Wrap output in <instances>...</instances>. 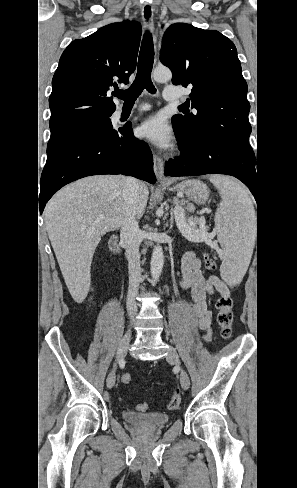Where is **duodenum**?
Returning <instances> with one entry per match:
<instances>
[{
    "mask_svg": "<svg viewBox=\"0 0 297 488\" xmlns=\"http://www.w3.org/2000/svg\"><path fill=\"white\" fill-rule=\"evenodd\" d=\"M110 248L111 250L117 254V255H120V248H119V245H118V238L116 236H113L110 240Z\"/></svg>",
    "mask_w": 297,
    "mask_h": 488,
    "instance_id": "duodenum-1",
    "label": "duodenum"
}]
</instances>
